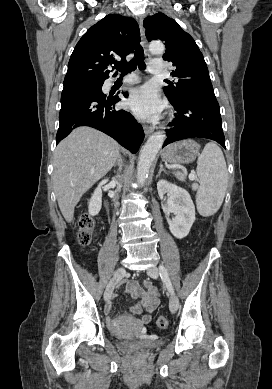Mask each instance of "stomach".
I'll return each instance as SVG.
<instances>
[{"mask_svg":"<svg viewBox=\"0 0 272 389\" xmlns=\"http://www.w3.org/2000/svg\"><path fill=\"white\" fill-rule=\"evenodd\" d=\"M199 149L200 145L196 141L187 139L165 147L161 157L169 163H190L199 155Z\"/></svg>","mask_w":272,"mask_h":389,"instance_id":"stomach-1","label":"stomach"}]
</instances>
